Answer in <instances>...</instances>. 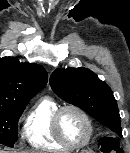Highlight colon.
I'll return each instance as SVG.
<instances>
[{"mask_svg": "<svg viewBox=\"0 0 130 153\" xmlns=\"http://www.w3.org/2000/svg\"><path fill=\"white\" fill-rule=\"evenodd\" d=\"M103 153H119L121 151L119 144L112 137H105L101 144Z\"/></svg>", "mask_w": 130, "mask_h": 153, "instance_id": "5ec220e1", "label": "colon"}]
</instances>
